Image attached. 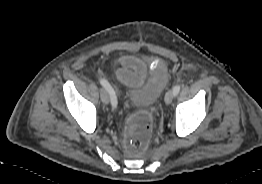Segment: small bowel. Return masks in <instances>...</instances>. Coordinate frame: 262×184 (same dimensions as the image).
<instances>
[{
  "mask_svg": "<svg viewBox=\"0 0 262 184\" xmlns=\"http://www.w3.org/2000/svg\"><path fill=\"white\" fill-rule=\"evenodd\" d=\"M118 62L120 67L115 72L117 80L129 86H137L142 82L146 75V67L139 59L124 55Z\"/></svg>",
  "mask_w": 262,
  "mask_h": 184,
  "instance_id": "1",
  "label": "small bowel"
}]
</instances>
